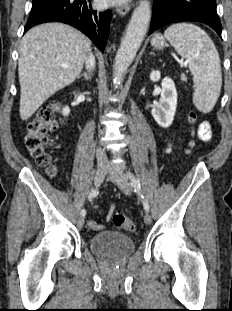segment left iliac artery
I'll list each match as a JSON object with an SVG mask.
<instances>
[{
	"label": "left iliac artery",
	"mask_w": 232,
	"mask_h": 311,
	"mask_svg": "<svg viewBox=\"0 0 232 311\" xmlns=\"http://www.w3.org/2000/svg\"><path fill=\"white\" fill-rule=\"evenodd\" d=\"M128 177L131 181V185L133 186L135 192H137L141 196L142 202H143V207H144L145 211L148 212L149 211V204L144 199V196L140 193L141 186H140L139 180L130 172H128Z\"/></svg>",
	"instance_id": "44dca946"
}]
</instances>
